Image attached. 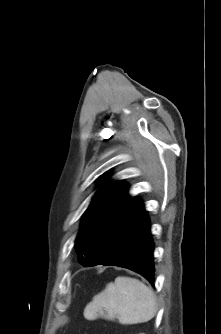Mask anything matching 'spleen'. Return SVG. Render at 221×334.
Returning a JSON list of instances; mask_svg holds the SVG:
<instances>
[{
  "label": "spleen",
  "instance_id": "obj_1",
  "mask_svg": "<svg viewBox=\"0 0 221 334\" xmlns=\"http://www.w3.org/2000/svg\"><path fill=\"white\" fill-rule=\"evenodd\" d=\"M156 312L157 301L152 289L138 279L119 276L86 305L84 317L88 320L117 319L126 325L147 322Z\"/></svg>",
  "mask_w": 221,
  "mask_h": 334
}]
</instances>
